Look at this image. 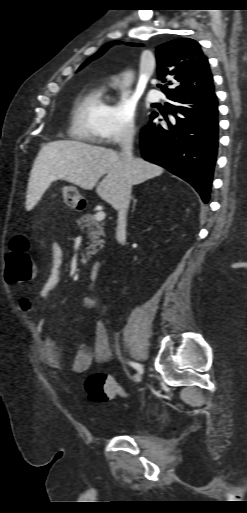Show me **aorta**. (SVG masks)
<instances>
[{"label":"aorta","instance_id":"obj_1","mask_svg":"<svg viewBox=\"0 0 247 513\" xmlns=\"http://www.w3.org/2000/svg\"><path fill=\"white\" fill-rule=\"evenodd\" d=\"M133 78L134 75L132 71L125 72L122 77V87H130L133 82Z\"/></svg>","mask_w":247,"mask_h":513}]
</instances>
